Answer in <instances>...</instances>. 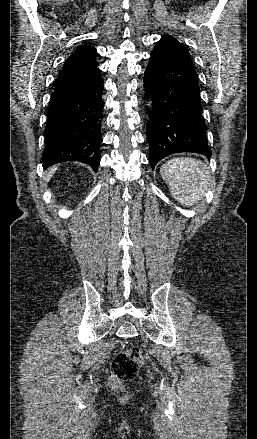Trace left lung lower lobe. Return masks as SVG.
I'll return each mask as SVG.
<instances>
[{"label":"left lung lower lobe","instance_id":"1","mask_svg":"<svg viewBox=\"0 0 257 439\" xmlns=\"http://www.w3.org/2000/svg\"><path fill=\"white\" fill-rule=\"evenodd\" d=\"M197 79L184 46L161 38L151 52L144 76V87L151 91L154 107L148 111L147 122L149 162L153 169L158 161L174 153H199L209 159L212 155L201 115Z\"/></svg>","mask_w":257,"mask_h":439}]
</instances>
